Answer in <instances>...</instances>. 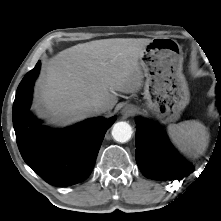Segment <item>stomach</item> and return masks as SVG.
I'll list each match as a JSON object with an SVG mask.
<instances>
[{"label":"stomach","mask_w":221,"mask_h":221,"mask_svg":"<svg viewBox=\"0 0 221 221\" xmlns=\"http://www.w3.org/2000/svg\"><path fill=\"white\" fill-rule=\"evenodd\" d=\"M140 64L146 78L144 111L162 123L178 120L190 99L182 47L172 38H154L141 53Z\"/></svg>","instance_id":"0dacf381"}]
</instances>
